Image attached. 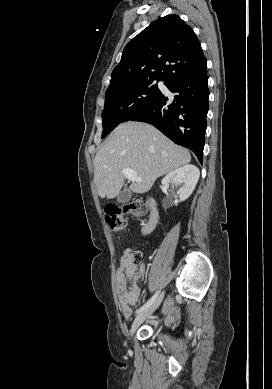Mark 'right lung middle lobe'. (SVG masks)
Segmentation results:
<instances>
[{"label": "right lung middle lobe", "mask_w": 272, "mask_h": 389, "mask_svg": "<svg viewBox=\"0 0 272 389\" xmlns=\"http://www.w3.org/2000/svg\"><path fill=\"white\" fill-rule=\"evenodd\" d=\"M152 82L153 79L144 80L106 92L102 138L120 123L129 121L160 94L157 84L152 85Z\"/></svg>", "instance_id": "obj_1"}]
</instances>
